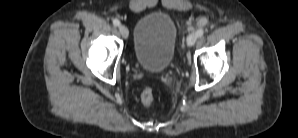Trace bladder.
Here are the masks:
<instances>
[{
	"instance_id": "obj_1",
	"label": "bladder",
	"mask_w": 298,
	"mask_h": 138,
	"mask_svg": "<svg viewBox=\"0 0 298 138\" xmlns=\"http://www.w3.org/2000/svg\"><path fill=\"white\" fill-rule=\"evenodd\" d=\"M176 40L177 27L167 13L145 15L136 24L133 34L135 61L148 71H165L174 58Z\"/></svg>"
}]
</instances>
